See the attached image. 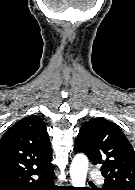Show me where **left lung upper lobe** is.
Instances as JSON below:
<instances>
[{"instance_id": "1", "label": "left lung upper lobe", "mask_w": 135, "mask_h": 190, "mask_svg": "<svg viewBox=\"0 0 135 190\" xmlns=\"http://www.w3.org/2000/svg\"><path fill=\"white\" fill-rule=\"evenodd\" d=\"M74 150L101 164L103 190H135V152L123 132L112 122L96 118L78 133Z\"/></svg>"}]
</instances>
